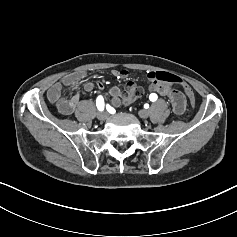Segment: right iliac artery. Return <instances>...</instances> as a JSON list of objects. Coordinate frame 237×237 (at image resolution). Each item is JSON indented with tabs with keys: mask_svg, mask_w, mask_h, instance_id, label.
<instances>
[{
	"mask_svg": "<svg viewBox=\"0 0 237 237\" xmlns=\"http://www.w3.org/2000/svg\"><path fill=\"white\" fill-rule=\"evenodd\" d=\"M96 106L98 108L99 111H103L104 110V99L102 96H98L96 99Z\"/></svg>",
	"mask_w": 237,
	"mask_h": 237,
	"instance_id": "82829eb1",
	"label": "right iliac artery"
}]
</instances>
